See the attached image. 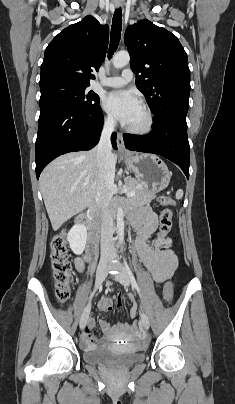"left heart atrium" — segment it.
<instances>
[{
    "mask_svg": "<svg viewBox=\"0 0 235 404\" xmlns=\"http://www.w3.org/2000/svg\"><path fill=\"white\" fill-rule=\"evenodd\" d=\"M104 108L124 124H128L140 108V100L129 91L116 90L103 99Z\"/></svg>",
    "mask_w": 235,
    "mask_h": 404,
    "instance_id": "39dd6f15",
    "label": "left heart atrium"
}]
</instances>
